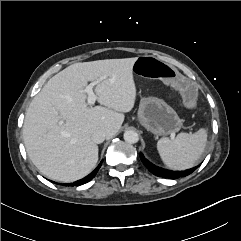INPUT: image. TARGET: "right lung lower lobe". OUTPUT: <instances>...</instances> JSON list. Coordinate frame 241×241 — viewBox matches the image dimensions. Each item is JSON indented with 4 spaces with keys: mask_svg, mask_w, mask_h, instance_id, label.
I'll use <instances>...</instances> for the list:
<instances>
[{
    "mask_svg": "<svg viewBox=\"0 0 241 241\" xmlns=\"http://www.w3.org/2000/svg\"><path fill=\"white\" fill-rule=\"evenodd\" d=\"M101 163L98 165V167L91 174H89L85 178H83V179H81L79 181H76L75 183H72L70 185L71 186H74V185L75 186H79V185L85 184V183L89 182L90 180H92L95 177V175L97 174V172H98V170H99V168L101 166Z\"/></svg>",
    "mask_w": 241,
    "mask_h": 241,
    "instance_id": "98d812e1",
    "label": "right lung lower lobe"
}]
</instances>
